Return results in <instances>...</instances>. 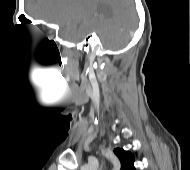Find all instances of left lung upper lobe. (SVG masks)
<instances>
[{"mask_svg":"<svg viewBox=\"0 0 190 170\" xmlns=\"http://www.w3.org/2000/svg\"><path fill=\"white\" fill-rule=\"evenodd\" d=\"M114 153L121 162V170H136L134 167V156L131 152L116 148Z\"/></svg>","mask_w":190,"mask_h":170,"instance_id":"1","label":"left lung upper lobe"}]
</instances>
